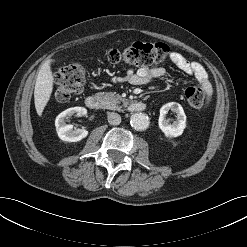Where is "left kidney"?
Returning <instances> with one entry per match:
<instances>
[{"label":"left kidney","mask_w":247,"mask_h":247,"mask_svg":"<svg viewBox=\"0 0 247 247\" xmlns=\"http://www.w3.org/2000/svg\"><path fill=\"white\" fill-rule=\"evenodd\" d=\"M169 110L177 114V121L172 124L168 119H166V114ZM158 124L159 128L166 137H178L182 135L184 129L186 128V115L184 113L183 107L176 102H170L163 105L160 108Z\"/></svg>","instance_id":"obj_1"}]
</instances>
